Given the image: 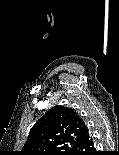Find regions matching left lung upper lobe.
Listing matches in <instances>:
<instances>
[{
  "label": "left lung upper lobe",
  "mask_w": 119,
  "mask_h": 155,
  "mask_svg": "<svg viewBox=\"0 0 119 155\" xmlns=\"http://www.w3.org/2000/svg\"><path fill=\"white\" fill-rule=\"evenodd\" d=\"M82 124L75 109L56 105L34 124L23 149L15 155H75Z\"/></svg>",
  "instance_id": "5c2ea615"
}]
</instances>
